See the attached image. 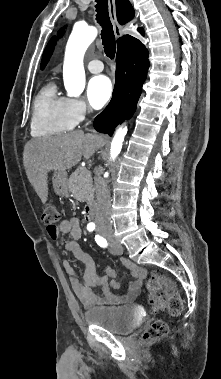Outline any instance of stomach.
I'll return each instance as SVG.
<instances>
[{
	"label": "stomach",
	"mask_w": 221,
	"mask_h": 379,
	"mask_svg": "<svg viewBox=\"0 0 221 379\" xmlns=\"http://www.w3.org/2000/svg\"><path fill=\"white\" fill-rule=\"evenodd\" d=\"M52 181L54 190L58 195L68 196V180L66 171H55Z\"/></svg>",
	"instance_id": "1"
}]
</instances>
